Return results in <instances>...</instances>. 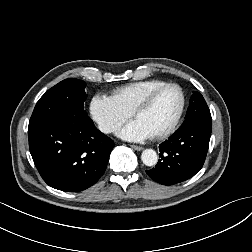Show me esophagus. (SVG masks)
Wrapping results in <instances>:
<instances>
[{
	"label": "esophagus",
	"instance_id": "1",
	"mask_svg": "<svg viewBox=\"0 0 252 252\" xmlns=\"http://www.w3.org/2000/svg\"><path fill=\"white\" fill-rule=\"evenodd\" d=\"M130 147L136 151H141L143 150V147L142 146H138V145H130Z\"/></svg>",
	"mask_w": 252,
	"mask_h": 252
}]
</instances>
